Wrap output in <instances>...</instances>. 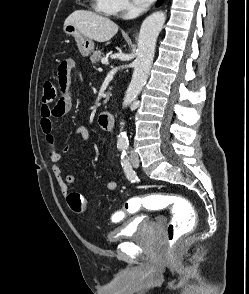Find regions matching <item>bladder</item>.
<instances>
[{"instance_id":"31cf9c89","label":"bladder","mask_w":249,"mask_h":294,"mask_svg":"<svg viewBox=\"0 0 249 294\" xmlns=\"http://www.w3.org/2000/svg\"><path fill=\"white\" fill-rule=\"evenodd\" d=\"M156 221L157 217L150 215L128 219L125 221V225L121 230L114 231L107 236L108 243L115 244L129 238L144 237Z\"/></svg>"}]
</instances>
